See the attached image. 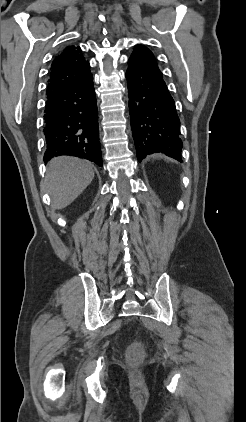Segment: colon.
Masks as SVG:
<instances>
[{
	"label": "colon",
	"instance_id": "obj_1",
	"mask_svg": "<svg viewBox=\"0 0 246 422\" xmlns=\"http://www.w3.org/2000/svg\"><path fill=\"white\" fill-rule=\"evenodd\" d=\"M143 350L140 344H132L128 349V358L131 362L137 363L142 359Z\"/></svg>",
	"mask_w": 246,
	"mask_h": 422
}]
</instances>
